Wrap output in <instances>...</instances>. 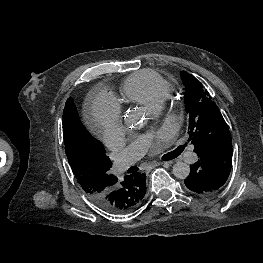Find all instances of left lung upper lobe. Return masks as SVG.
Masks as SVG:
<instances>
[{
  "instance_id": "5c2ea615",
  "label": "left lung upper lobe",
  "mask_w": 263,
  "mask_h": 263,
  "mask_svg": "<svg viewBox=\"0 0 263 263\" xmlns=\"http://www.w3.org/2000/svg\"><path fill=\"white\" fill-rule=\"evenodd\" d=\"M185 86L189 139L198 154L221 143H231L228 126L217 105L201 83L186 71L180 73Z\"/></svg>"
}]
</instances>
